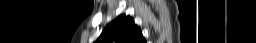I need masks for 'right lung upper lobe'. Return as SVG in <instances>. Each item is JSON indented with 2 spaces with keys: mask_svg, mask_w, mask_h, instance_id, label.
<instances>
[{
  "mask_svg": "<svg viewBox=\"0 0 256 43\" xmlns=\"http://www.w3.org/2000/svg\"><path fill=\"white\" fill-rule=\"evenodd\" d=\"M96 43H146V40L130 16L119 15L105 27Z\"/></svg>",
  "mask_w": 256,
  "mask_h": 43,
  "instance_id": "1",
  "label": "right lung upper lobe"
}]
</instances>
